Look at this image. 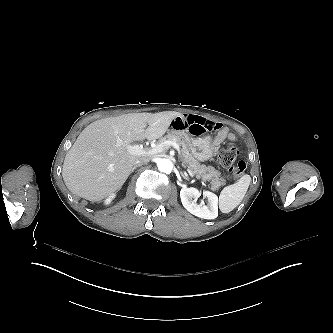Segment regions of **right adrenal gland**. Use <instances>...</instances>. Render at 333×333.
<instances>
[{
    "instance_id": "obj_1",
    "label": "right adrenal gland",
    "mask_w": 333,
    "mask_h": 333,
    "mask_svg": "<svg viewBox=\"0 0 333 333\" xmlns=\"http://www.w3.org/2000/svg\"><path fill=\"white\" fill-rule=\"evenodd\" d=\"M138 166H134L133 169L131 170V173L134 172V170L137 168Z\"/></svg>"
}]
</instances>
